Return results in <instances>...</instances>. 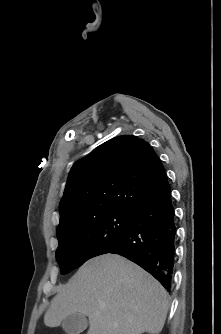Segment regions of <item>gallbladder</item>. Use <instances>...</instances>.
Segmentation results:
<instances>
[{"label":"gallbladder","instance_id":"bac80fb5","mask_svg":"<svg viewBox=\"0 0 221 334\" xmlns=\"http://www.w3.org/2000/svg\"><path fill=\"white\" fill-rule=\"evenodd\" d=\"M88 322L83 314L75 313L66 317L62 322L67 334H80L87 328Z\"/></svg>","mask_w":221,"mask_h":334}]
</instances>
